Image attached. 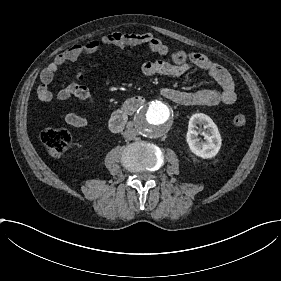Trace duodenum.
I'll use <instances>...</instances> for the list:
<instances>
[{"instance_id":"1","label":"duodenum","mask_w":281,"mask_h":281,"mask_svg":"<svg viewBox=\"0 0 281 281\" xmlns=\"http://www.w3.org/2000/svg\"><path fill=\"white\" fill-rule=\"evenodd\" d=\"M144 103L145 99L141 96L127 99L120 108L113 112L109 121L110 129L113 132L121 131L127 125L129 117L144 105Z\"/></svg>"}]
</instances>
